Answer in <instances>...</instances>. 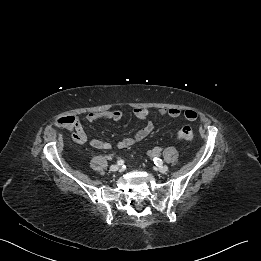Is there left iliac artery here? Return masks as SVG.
Here are the masks:
<instances>
[{
  "label": "left iliac artery",
  "mask_w": 261,
  "mask_h": 261,
  "mask_svg": "<svg viewBox=\"0 0 261 261\" xmlns=\"http://www.w3.org/2000/svg\"><path fill=\"white\" fill-rule=\"evenodd\" d=\"M153 160H154V163L157 166H162L163 165V161L160 158L155 157Z\"/></svg>",
  "instance_id": "obj_1"
}]
</instances>
